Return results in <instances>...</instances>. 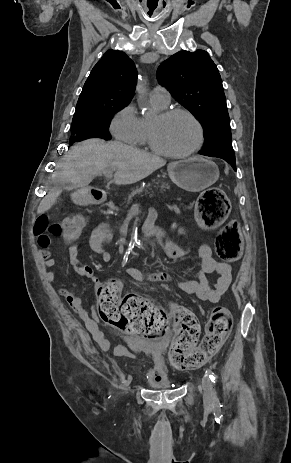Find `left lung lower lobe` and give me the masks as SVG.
I'll return each mask as SVG.
<instances>
[{
    "label": "left lung lower lobe",
    "mask_w": 291,
    "mask_h": 463,
    "mask_svg": "<svg viewBox=\"0 0 291 463\" xmlns=\"http://www.w3.org/2000/svg\"><path fill=\"white\" fill-rule=\"evenodd\" d=\"M218 158H221V159H224L225 161H227L233 167V169L236 171L235 158H226V157H218Z\"/></svg>",
    "instance_id": "0a47b994"
}]
</instances>
